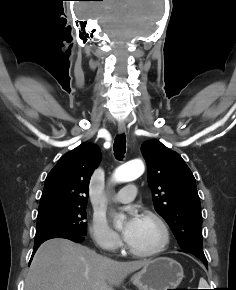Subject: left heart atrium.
<instances>
[{
	"label": "left heart atrium",
	"mask_w": 236,
	"mask_h": 290,
	"mask_svg": "<svg viewBox=\"0 0 236 290\" xmlns=\"http://www.w3.org/2000/svg\"><path fill=\"white\" fill-rule=\"evenodd\" d=\"M141 217L133 211H130L127 218L123 222L122 236L129 243L134 238L136 231L140 225Z\"/></svg>",
	"instance_id": "obj_1"
}]
</instances>
